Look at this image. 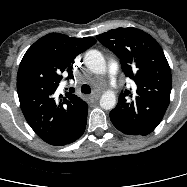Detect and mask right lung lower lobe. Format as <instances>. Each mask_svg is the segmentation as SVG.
I'll return each instance as SVG.
<instances>
[{
	"instance_id": "right-lung-lower-lobe-1",
	"label": "right lung lower lobe",
	"mask_w": 187,
	"mask_h": 187,
	"mask_svg": "<svg viewBox=\"0 0 187 187\" xmlns=\"http://www.w3.org/2000/svg\"><path fill=\"white\" fill-rule=\"evenodd\" d=\"M86 120H87V116L84 118V120L82 121L81 125L78 127V129L68 138L66 139L63 143H61L60 145H66L69 143L74 142L75 140H77L78 138L81 137V135L84 133L85 128H86ZM58 145V146H60Z\"/></svg>"
}]
</instances>
